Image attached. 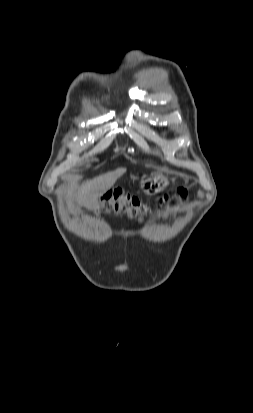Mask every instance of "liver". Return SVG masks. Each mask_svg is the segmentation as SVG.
Returning <instances> with one entry per match:
<instances>
[{"mask_svg": "<svg viewBox=\"0 0 253 413\" xmlns=\"http://www.w3.org/2000/svg\"><path fill=\"white\" fill-rule=\"evenodd\" d=\"M125 172L126 168H118L115 171L88 180L80 187L72 190L70 196L74 197L78 204H82L88 209H95L98 206L99 197L110 190L117 179Z\"/></svg>", "mask_w": 253, "mask_h": 413, "instance_id": "liver-1", "label": "liver"}]
</instances>
